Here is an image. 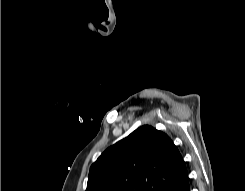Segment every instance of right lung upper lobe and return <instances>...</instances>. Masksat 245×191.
I'll return each mask as SVG.
<instances>
[{
	"label": "right lung upper lobe",
	"instance_id": "1",
	"mask_svg": "<svg viewBox=\"0 0 245 191\" xmlns=\"http://www.w3.org/2000/svg\"><path fill=\"white\" fill-rule=\"evenodd\" d=\"M186 175L182 155L169 136L144 125L93 163L86 191H163Z\"/></svg>",
	"mask_w": 245,
	"mask_h": 191
}]
</instances>
